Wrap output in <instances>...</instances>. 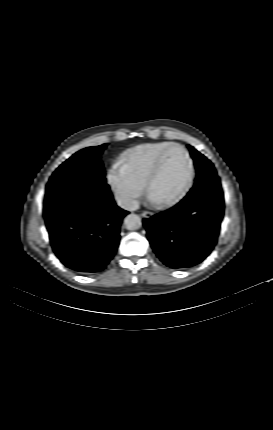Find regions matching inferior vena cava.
<instances>
[{
    "instance_id": "inferior-vena-cava-1",
    "label": "inferior vena cava",
    "mask_w": 273,
    "mask_h": 430,
    "mask_svg": "<svg viewBox=\"0 0 273 430\" xmlns=\"http://www.w3.org/2000/svg\"><path fill=\"white\" fill-rule=\"evenodd\" d=\"M118 205L126 210L133 211L139 208V202L131 198H116Z\"/></svg>"
}]
</instances>
